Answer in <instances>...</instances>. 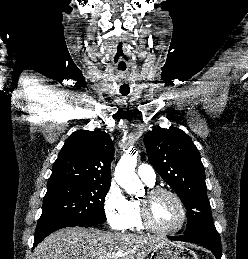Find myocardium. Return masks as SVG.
<instances>
[{"label":"myocardium","mask_w":248,"mask_h":259,"mask_svg":"<svg viewBox=\"0 0 248 259\" xmlns=\"http://www.w3.org/2000/svg\"><path fill=\"white\" fill-rule=\"evenodd\" d=\"M160 195H168L171 198H173L177 205L180 208L181 211V220L179 225L171 230H163L159 228L153 218H152V213H151V204L154 198ZM140 214H141V219L143 224L147 229H149L152 232H155L159 235L163 236H172L180 232L186 221H187V209L182 201V199L179 197L178 194H176L174 191L162 188V187H152L149 188L145 194V196L140 200Z\"/></svg>","instance_id":"f54148a6"}]
</instances>
